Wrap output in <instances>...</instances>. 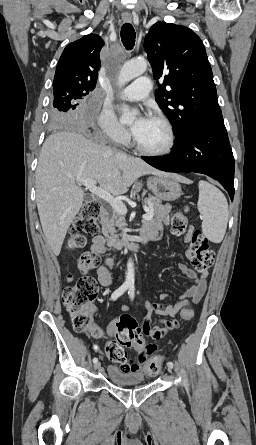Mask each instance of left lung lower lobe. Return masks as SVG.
<instances>
[{
	"mask_svg": "<svg viewBox=\"0 0 256 445\" xmlns=\"http://www.w3.org/2000/svg\"><path fill=\"white\" fill-rule=\"evenodd\" d=\"M166 172H196L219 181L234 197V157L224 124H197L177 138L169 155L142 157Z\"/></svg>",
	"mask_w": 256,
	"mask_h": 445,
	"instance_id": "0a47b994",
	"label": "left lung lower lobe"
}]
</instances>
